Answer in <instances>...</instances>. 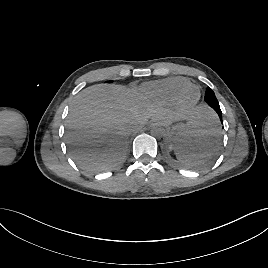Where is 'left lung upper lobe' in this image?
Listing matches in <instances>:
<instances>
[{
  "instance_id": "5c2ea615",
  "label": "left lung upper lobe",
  "mask_w": 268,
  "mask_h": 268,
  "mask_svg": "<svg viewBox=\"0 0 268 268\" xmlns=\"http://www.w3.org/2000/svg\"><path fill=\"white\" fill-rule=\"evenodd\" d=\"M204 100L209 105H211V104H219L214 92L209 87L206 89Z\"/></svg>"
}]
</instances>
